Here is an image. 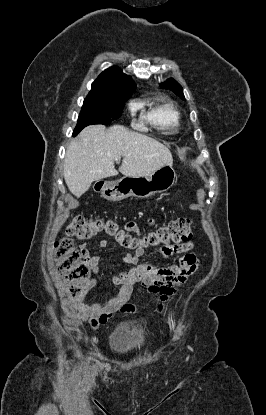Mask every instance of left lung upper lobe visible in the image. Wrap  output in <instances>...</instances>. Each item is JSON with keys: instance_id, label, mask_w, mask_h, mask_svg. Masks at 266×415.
<instances>
[{"instance_id": "1", "label": "left lung upper lobe", "mask_w": 266, "mask_h": 415, "mask_svg": "<svg viewBox=\"0 0 266 415\" xmlns=\"http://www.w3.org/2000/svg\"><path fill=\"white\" fill-rule=\"evenodd\" d=\"M161 87L172 90L176 95H178L183 100H185V97L183 95V89H182V87L173 78L167 79L166 82H164V83L161 84Z\"/></svg>"}]
</instances>
